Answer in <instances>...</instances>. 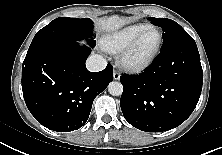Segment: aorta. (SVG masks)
I'll return each instance as SVG.
<instances>
[{
    "label": "aorta",
    "mask_w": 222,
    "mask_h": 155,
    "mask_svg": "<svg viewBox=\"0 0 222 155\" xmlns=\"http://www.w3.org/2000/svg\"><path fill=\"white\" fill-rule=\"evenodd\" d=\"M108 91L113 96H120L123 92V85L120 82L113 81L109 83Z\"/></svg>",
    "instance_id": "762f6f07"
}]
</instances>
